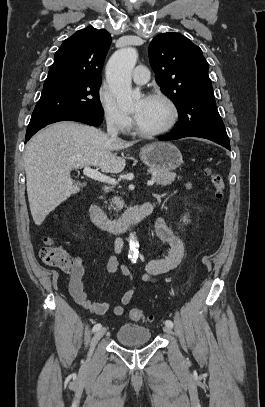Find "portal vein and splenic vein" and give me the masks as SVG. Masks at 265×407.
<instances>
[{
	"label": "portal vein and splenic vein",
	"mask_w": 265,
	"mask_h": 407,
	"mask_svg": "<svg viewBox=\"0 0 265 407\" xmlns=\"http://www.w3.org/2000/svg\"><path fill=\"white\" fill-rule=\"evenodd\" d=\"M83 174H84L85 176L89 177V178H92V179H94V180L101 181V182H106V183H108V184L114 185V184L117 183V181H116L114 178H110V177H108V176H106V175L100 173L99 171L90 168L89 166H85V167H84V169H83ZM154 182H155V181H154L153 179H152V180H149V181L147 182V185H148V186H151V185L154 184Z\"/></svg>",
	"instance_id": "18ae733b"
}]
</instances>
